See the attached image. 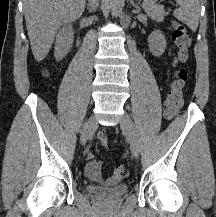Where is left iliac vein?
Returning <instances> with one entry per match:
<instances>
[{
  "instance_id": "4c4485c4",
  "label": "left iliac vein",
  "mask_w": 216,
  "mask_h": 217,
  "mask_svg": "<svg viewBox=\"0 0 216 217\" xmlns=\"http://www.w3.org/2000/svg\"><path fill=\"white\" fill-rule=\"evenodd\" d=\"M120 126L122 130L126 133L130 140V149L132 155L137 158L140 151V141L139 136L136 130V127L134 125V122L132 121L131 117L125 113L121 120H120Z\"/></svg>"
}]
</instances>
